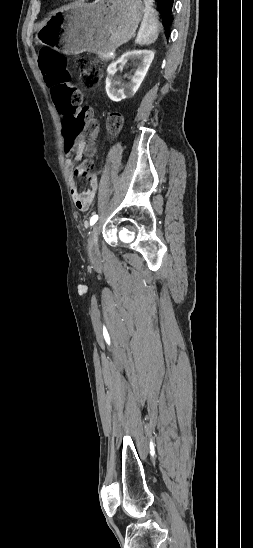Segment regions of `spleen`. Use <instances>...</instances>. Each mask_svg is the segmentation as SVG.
<instances>
[{"mask_svg":"<svg viewBox=\"0 0 253 548\" xmlns=\"http://www.w3.org/2000/svg\"><path fill=\"white\" fill-rule=\"evenodd\" d=\"M144 3V16L136 37V43L139 45L155 42L161 29L158 12L152 7V0H144Z\"/></svg>","mask_w":253,"mask_h":548,"instance_id":"spleen-1","label":"spleen"}]
</instances>
